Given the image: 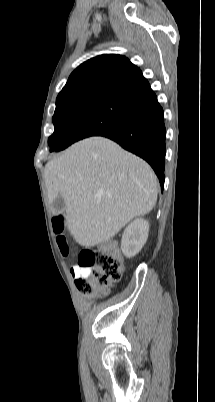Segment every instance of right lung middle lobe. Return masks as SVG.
Masks as SVG:
<instances>
[{"label": "right lung middle lobe", "mask_w": 215, "mask_h": 402, "mask_svg": "<svg viewBox=\"0 0 215 402\" xmlns=\"http://www.w3.org/2000/svg\"><path fill=\"white\" fill-rule=\"evenodd\" d=\"M140 106L107 93L76 94L57 99L52 118L55 130L48 139L50 152L63 150L83 138L101 136L117 129Z\"/></svg>", "instance_id": "1"}]
</instances>
